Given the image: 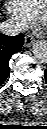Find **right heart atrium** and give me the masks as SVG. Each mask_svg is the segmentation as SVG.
<instances>
[{
    "label": "right heart atrium",
    "mask_w": 47,
    "mask_h": 129,
    "mask_svg": "<svg viewBox=\"0 0 47 129\" xmlns=\"http://www.w3.org/2000/svg\"><path fill=\"white\" fill-rule=\"evenodd\" d=\"M6 11L17 29H23L30 25L33 16L17 0H8L5 4Z\"/></svg>",
    "instance_id": "obj_1"
}]
</instances>
